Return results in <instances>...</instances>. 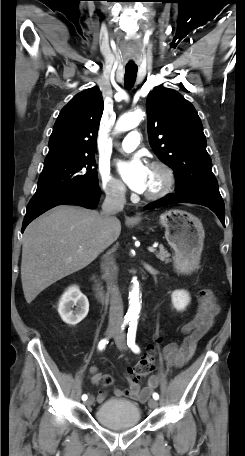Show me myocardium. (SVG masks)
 <instances>
[{"instance_id": "1", "label": "myocardium", "mask_w": 245, "mask_h": 456, "mask_svg": "<svg viewBox=\"0 0 245 456\" xmlns=\"http://www.w3.org/2000/svg\"><path fill=\"white\" fill-rule=\"evenodd\" d=\"M149 168L159 170L163 175V183L155 191L144 192L143 196L148 200H158L170 193L175 184V174L173 169L162 161H152Z\"/></svg>"}]
</instances>
